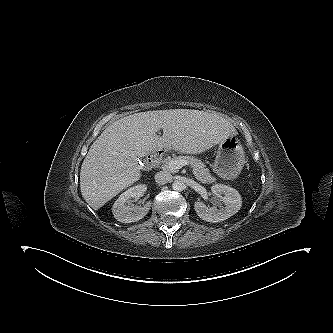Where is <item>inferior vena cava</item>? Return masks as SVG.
Segmentation results:
<instances>
[{"label": "inferior vena cava", "mask_w": 333, "mask_h": 333, "mask_svg": "<svg viewBox=\"0 0 333 333\" xmlns=\"http://www.w3.org/2000/svg\"><path fill=\"white\" fill-rule=\"evenodd\" d=\"M172 179V175L170 172L167 171H160L157 172L155 175V181L158 184H166Z\"/></svg>", "instance_id": "602c4592"}]
</instances>
